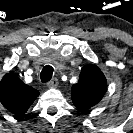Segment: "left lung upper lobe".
Returning <instances> with one entry per match:
<instances>
[{"label":"left lung upper lobe","instance_id":"obj_1","mask_svg":"<svg viewBox=\"0 0 133 133\" xmlns=\"http://www.w3.org/2000/svg\"><path fill=\"white\" fill-rule=\"evenodd\" d=\"M106 88V78L99 67L85 65L81 69L78 83L72 86V101L78 109L87 110L100 102Z\"/></svg>","mask_w":133,"mask_h":133}]
</instances>
